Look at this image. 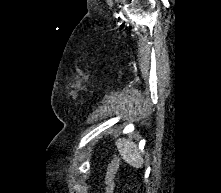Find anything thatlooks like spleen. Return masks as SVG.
<instances>
[{
  "instance_id": "3e777b00",
  "label": "spleen",
  "mask_w": 221,
  "mask_h": 193,
  "mask_svg": "<svg viewBox=\"0 0 221 193\" xmlns=\"http://www.w3.org/2000/svg\"><path fill=\"white\" fill-rule=\"evenodd\" d=\"M118 151L125 162L136 168L142 167L143 159L135 143L125 139L116 142Z\"/></svg>"
}]
</instances>
